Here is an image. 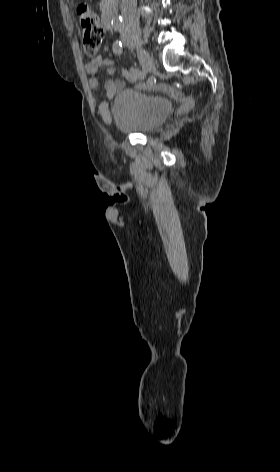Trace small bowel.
I'll return each mask as SVG.
<instances>
[{
	"instance_id": "small-bowel-1",
	"label": "small bowel",
	"mask_w": 280,
	"mask_h": 472,
	"mask_svg": "<svg viewBox=\"0 0 280 472\" xmlns=\"http://www.w3.org/2000/svg\"><path fill=\"white\" fill-rule=\"evenodd\" d=\"M99 68H106L107 74L109 76H113L116 72V69L113 65V62L101 55H97L87 61L84 65V69L86 73L89 75L88 85L90 89L95 90L98 85V79L96 77V73ZM125 78L130 82H135L137 79L134 78L131 72L124 73ZM124 82L122 80H108L105 83V92L108 98L112 99L116 93L124 87ZM163 88H167L163 86ZM99 113L104 120H109L110 118V111L108 108V103L103 101L99 105Z\"/></svg>"
}]
</instances>
